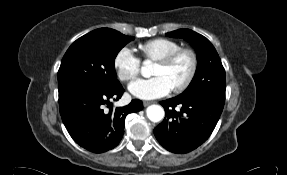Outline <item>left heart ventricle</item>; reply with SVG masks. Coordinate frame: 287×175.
<instances>
[{
  "label": "left heart ventricle",
  "mask_w": 287,
  "mask_h": 175,
  "mask_svg": "<svg viewBox=\"0 0 287 175\" xmlns=\"http://www.w3.org/2000/svg\"><path fill=\"white\" fill-rule=\"evenodd\" d=\"M189 70H190V59L188 56L183 55L169 66L156 63L153 68L152 75L164 76L169 81L170 85L173 88L184 80Z\"/></svg>",
  "instance_id": "b2bd125f"
}]
</instances>
